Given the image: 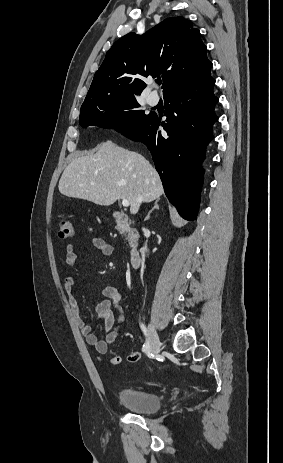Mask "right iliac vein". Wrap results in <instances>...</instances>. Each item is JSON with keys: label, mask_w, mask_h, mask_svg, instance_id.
Here are the masks:
<instances>
[{"label": "right iliac vein", "mask_w": 283, "mask_h": 463, "mask_svg": "<svg viewBox=\"0 0 283 463\" xmlns=\"http://www.w3.org/2000/svg\"><path fill=\"white\" fill-rule=\"evenodd\" d=\"M149 346L152 354H158L160 351V340L153 324L149 325Z\"/></svg>", "instance_id": "right-iliac-vein-1"}]
</instances>
